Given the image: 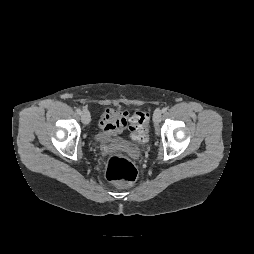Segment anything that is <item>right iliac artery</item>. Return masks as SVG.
<instances>
[{"label":"right iliac artery","instance_id":"1","mask_svg":"<svg viewBox=\"0 0 254 254\" xmlns=\"http://www.w3.org/2000/svg\"><path fill=\"white\" fill-rule=\"evenodd\" d=\"M76 112H77L79 115H81V113H82L81 110H80L79 108L76 109Z\"/></svg>","mask_w":254,"mask_h":254}]
</instances>
